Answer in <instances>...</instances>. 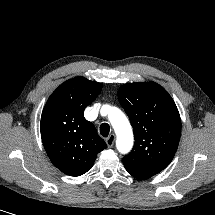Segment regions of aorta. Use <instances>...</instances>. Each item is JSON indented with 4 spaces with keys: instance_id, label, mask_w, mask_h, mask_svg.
Returning <instances> with one entry per match:
<instances>
[{
    "instance_id": "762f6f07",
    "label": "aorta",
    "mask_w": 215,
    "mask_h": 215,
    "mask_svg": "<svg viewBox=\"0 0 215 215\" xmlns=\"http://www.w3.org/2000/svg\"><path fill=\"white\" fill-rule=\"evenodd\" d=\"M104 109L108 111L109 121L115 130L118 151L121 153L129 152L133 146V132L127 117L117 107L105 105L102 107V110Z\"/></svg>"
}]
</instances>
